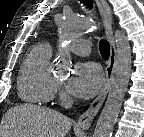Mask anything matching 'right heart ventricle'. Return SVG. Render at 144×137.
<instances>
[{"label":"right heart ventricle","instance_id":"e07e8e85","mask_svg":"<svg viewBox=\"0 0 144 137\" xmlns=\"http://www.w3.org/2000/svg\"><path fill=\"white\" fill-rule=\"evenodd\" d=\"M51 55V47L46 42L37 43L26 54L17 81L22 101L41 105L53 99L57 83L50 69Z\"/></svg>","mask_w":144,"mask_h":137}]
</instances>
